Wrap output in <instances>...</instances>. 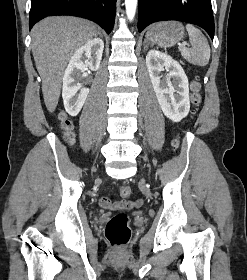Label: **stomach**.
I'll return each instance as SVG.
<instances>
[{"label": "stomach", "mask_w": 247, "mask_h": 280, "mask_svg": "<svg viewBox=\"0 0 247 280\" xmlns=\"http://www.w3.org/2000/svg\"><path fill=\"white\" fill-rule=\"evenodd\" d=\"M184 27L180 22L167 21L153 25L146 39L160 47H171L184 37Z\"/></svg>", "instance_id": "obj_1"}]
</instances>
